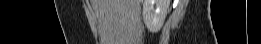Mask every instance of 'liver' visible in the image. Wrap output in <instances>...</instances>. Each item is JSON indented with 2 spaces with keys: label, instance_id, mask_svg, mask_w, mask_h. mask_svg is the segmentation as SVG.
I'll return each mask as SVG.
<instances>
[{
  "label": "liver",
  "instance_id": "liver-1",
  "mask_svg": "<svg viewBox=\"0 0 261 44\" xmlns=\"http://www.w3.org/2000/svg\"><path fill=\"white\" fill-rule=\"evenodd\" d=\"M101 44L141 42L140 0H91Z\"/></svg>",
  "mask_w": 261,
  "mask_h": 44
}]
</instances>
